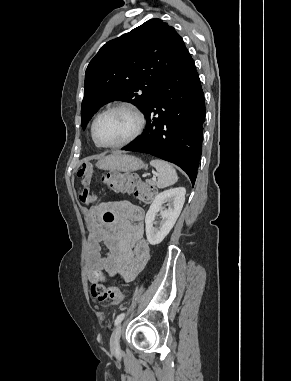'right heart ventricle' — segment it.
I'll return each instance as SVG.
<instances>
[{
    "instance_id": "right-heart-ventricle-1",
    "label": "right heart ventricle",
    "mask_w": 291,
    "mask_h": 381,
    "mask_svg": "<svg viewBox=\"0 0 291 381\" xmlns=\"http://www.w3.org/2000/svg\"><path fill=\"white\" fill-rule=\"evenodd\" d=\"M93 141H94V143H95V145H96V146H99V145H98V144L95 142V140H94V139H93Z\"/></svg>"
}]
</instances>
